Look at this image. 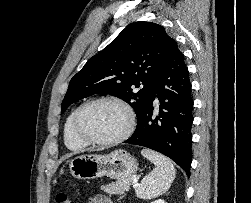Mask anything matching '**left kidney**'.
Returning <instances> with one entry per match:
<instances>
[{"label":"left kidney","instance_id":"5707ae66","mask_svg":"<svg viewBox=\"0 0 251 203\" xmlns=\"http://www.w3.org/2000/svg\"><path fill=\"white\" fill-rule=\"evenodd\" d=\"M151 203H166L163 199H158V200H155Z\"/></svg>","mask_w":251,"mask_h":203}]
</instances>
